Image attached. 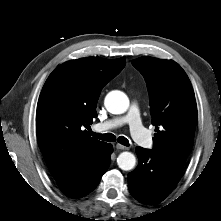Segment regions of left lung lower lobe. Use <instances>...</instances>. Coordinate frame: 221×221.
Listing matches in <instances>:
<instances>
[{"instance_id": "obj_1", "label": "left lung lower lobe", "mask_w": 221, "mask_h": 221, "mask_svg": "<svg viewBox=\"0 0 221 221\" xmlns=\"http://www.w3.org/2000/svg\"><path fill=\"white\" fill-rule=\"evenodd\" d=\"M136 153L139 163L128 174L129 191L144 204H157L178 183L184 165L141 147H136Z\"/></svg>"}]
</instances>
